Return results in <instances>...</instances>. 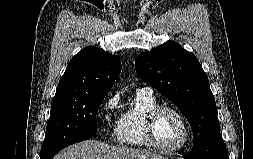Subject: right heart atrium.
<instances>
[{"mask_svg": "<svg viewBox=\"0 0 253 159\" xmlns=\"http://www.w3.org/2000/svg\"><path fill=\"white\" fill-rule=\"evenodd\" d=\"M119 97L116 94L108 97L102 105V114L108 121L113 120L114 127H116L118 120L115 118V113L118 107Z\"/></svg>", "mask_w": 253, "mask_h": 159, "instance_id": "d8ad5b80", "label": "right heart atrium"}]
</instances>
